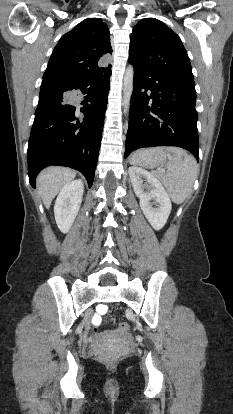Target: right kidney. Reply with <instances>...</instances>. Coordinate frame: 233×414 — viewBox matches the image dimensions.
Listing matches in <instances>:
<instances>
[{
    "label": "right kidney",
    "instance_id": "1",
    "mask_svg": "<svg viewBox=\"0 0 233 414\" xmlns=\"http://www.w3.org/2000/svg\"><path fill=\"white\" fill-rule=\"evenodd\" d=\"M84 193L82 180H73L67 183L61 190L54 206V215L58 228L67 233L81 206Z\"/></svg>",
    "mask_w": 233,
    "mask_h": 414
}]
</instances>
